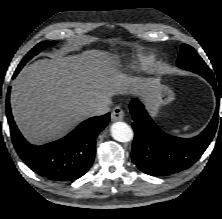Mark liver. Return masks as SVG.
I'll return each mask as SVG.
<instances>
[{"label":"liver","instance_id":"6515ba94","mask_svg":"<svg viewBox=\"0 0 222 219\" xmlns=\"http://www.w3.org/2000/svg\"><path fill=\"white\" fill-rule=\"evenodd\" d=\"M155 81L116 69L115 58L99 50L41 59L12 83L11 109L23 135L38 144L56 140L90 117L89 109L120 89L143 97Z\"/></svg>","mask_w":222,"mask_h":219}]
</instances>
